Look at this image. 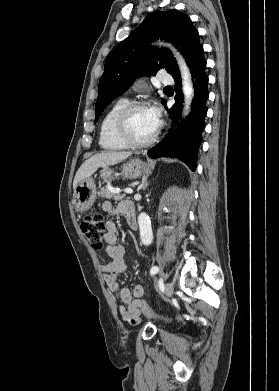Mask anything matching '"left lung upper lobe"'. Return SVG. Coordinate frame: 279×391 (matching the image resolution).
I'll use <instances>...</instances> for the list:
<instances>
[{
    "label": "left lung upper lobe",
    "instance_id": "5c2ea615",
    "mask_svg": "<svg viewBox=\"0 0 279 391\" xmlns=\"http://www.w3.org/2000/svg\"><path fill=\"white\" fill-rule=\"evenodd\" d=\"M171 41L189 66L202 47L197 29L186 14L175 10L149 14L145 20L108 54L99 82L95 121L116 97L123 94L141 76H154L164 68L175 78L180 75L170 50L151 47L155 39ZM166 101L162 100V104Z\"/></svg>",
    "mask_w": 279,
    "mask_h": 391
}]
</instances>
